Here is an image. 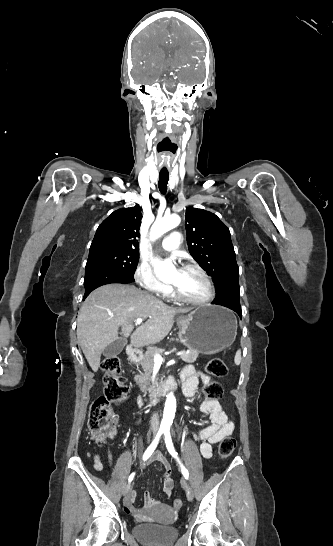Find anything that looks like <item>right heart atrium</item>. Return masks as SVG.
<instances>
[{"mask_svg":"<svg viewBox=\"0 0 333 546\" xmlns=\"http://www.w3.org/2000/svg\"><path fill=\"white\" fill-rule=\"evenodd\" d=\"M134 277L136 283L149 292L157 295H165L169 292V286L157 278L152 265L148 262H140L135 270Z\"/></svg>","mask_w":333,"mask_h":546,"instance_id":"right-heart-atrium-1","label":"right heart atrium"}]
</instances>
